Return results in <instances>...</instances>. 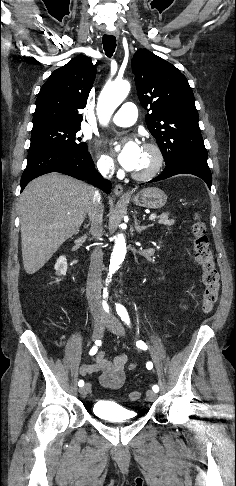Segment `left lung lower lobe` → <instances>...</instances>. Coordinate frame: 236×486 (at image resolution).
Here are the masks:
<instances>
[{
	"label": "left lung lower lobe",
	"mask_w": 236,
	"mask_h": 486,
	"mask_svg": "<svg viewBox=\"0 0 236 486\" xmlns=\"http://www.w3.org/2000/svg\"><path fill=\"white\" fill-rule=\"evenodd\" d=\"M184 173L193 174L200 177L207 183L209 189H211L212 175L208 167L207 160L191 158H181L166 164L164 171L150 182L160 181L171 176Z\"/></svg>",
	"instance_id": "1"
}]
</instances>
